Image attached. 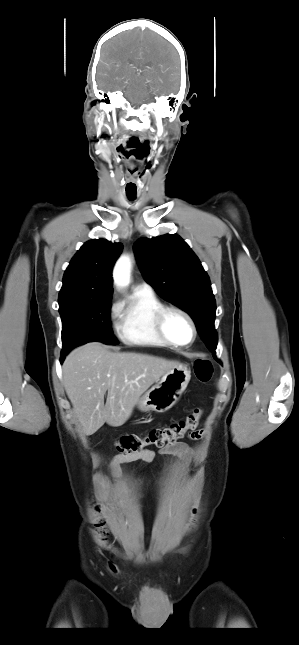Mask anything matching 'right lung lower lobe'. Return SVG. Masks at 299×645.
Masks as SVG:
<instances>
[{"label": "right lung lower lobe", "mask_w": 299, "mask_h": 645, "mask_svg": "<svg viewBox=\"0 0 299 645\" xmlns=\"http://www.w3.org/2000/svg\"><path fill=\"white\" fill-rule=\"evenodd\" d=\"M64 358H65V357L61 356V360H60V361H61V363L63 362Z\"/></svg>", "instance_id": "1"}]
</instances>
